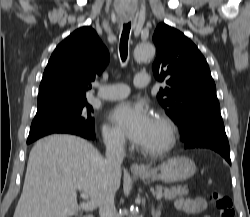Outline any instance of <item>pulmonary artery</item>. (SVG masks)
Segmentation results:
<instances>
[{
	"label": "pulmonary artery",
	"mask_w": 250,
	"mask_h": 217,
	"mask_svg": "<svg viewBox=\"0 0 250 217\" xmlns=\"http://www.w3.org/2000/svg\"><path fill=\"white\" fill-rule=\"evenodd\" d=\"M133 82L135 87L145 88L149 85L150 76L147 73H138ZM129 92V87L123 83L99 85L97 96L104 100H118L127 97Z\"/></svg>",
	"instance_id": "obj_1"
}]
</instances>
